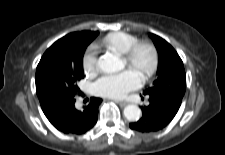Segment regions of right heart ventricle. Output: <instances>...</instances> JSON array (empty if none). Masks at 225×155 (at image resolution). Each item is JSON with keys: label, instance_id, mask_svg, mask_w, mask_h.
I'll return each instance as SVG.
<instances>
[{"label": "right heart ventricle", "instance_id": "right-heart-ventricle-1", "mask_svg": "<svg viewBox=\"0 0 225 155\" xmlns=\"http://www.w3.org/2000/svg\"><path fill=\"white\" fill-rule=\"evenodd\" d=\"M138 38L130 33L117 31L107 34L99 43V47L123 55Z\"/></svg>", "mask_w": 225, "mask_h": 155}]
</instances>
